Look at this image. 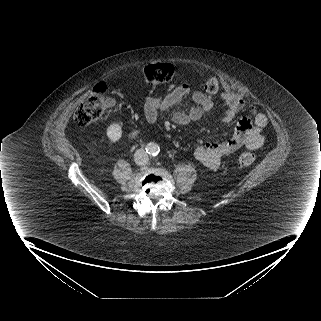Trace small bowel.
<instances>
[{"mask_svg":"<svg viewBox=\"0 0 321 321\" xmlns=\"http://www.w3.org/2000/svg\"><path fill=\"white\" fill-rule=\"evenodd\" d=\"M190 97L193 106L188 112L178 111L173 113L172 120L178 125H186L197 121L210 111L213 107L212 99L202 91L192 90L188 85L182 84L175 87L165 96L148 95L144 103V116L147 122L154 123L158 115L177 105L184 98ZM219 98L224 104L225 110L222 115V122L230 123L238 118L241 112L245 111L246 116L238 118L236 130L233 136L223 142L210 141L197 146L194 149V157L204 166L216 169L221 164L223 156L230 154L241 147L256 150L262 147L265 138L263 130L267 125L265 114L257 111L254 107L246 105L239 96L223 92ZM113 99L106 100L107 106H113ZM138 129L130 131L129 137L134 138Z\"/></svg>","mask_w":321,"mask_h":321,"instance_id":"small-bowel-1","label":"small bowel"}]
</instances>
